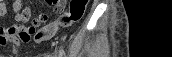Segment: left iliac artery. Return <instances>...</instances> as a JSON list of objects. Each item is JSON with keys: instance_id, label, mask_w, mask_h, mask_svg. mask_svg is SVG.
<instances>
[{"instance_id": "left-iliac-artery-1", "label": "left iliac artery", "mask_w": 172, "mask_h": 57, "mask_svg": "<svg viewBox=\"0 0 172 57\" xmlns=\"http://www.w3.org/2000/svg\"><path fill=\"white\" fill-rule=\"evenodd\" d=\"M60 57H63L65 55L64 50L61 48L59 51Z\"/></svg>"}]
</instances>
